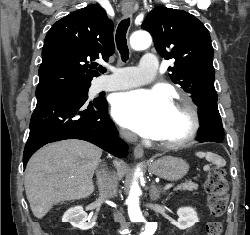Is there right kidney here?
Segmentation results:
<instances>
[{"instance_id": "obj_1", "label": "right kidney", "mask_w": 250, "mask_h": 235, "mask_svg": "<svg viewBox=\"0 0 250 235\" xmlns=\"http://www.w3.org/2000/svg\"><path fill=\"white\" fill-rule=\"evenodd\" d=\"M87 213L83 210L82 206H75L67 210L63 217L62 222H69L73 227L80 230H89L94 226V223H87Z\"/></svg>"}]
</instances>
